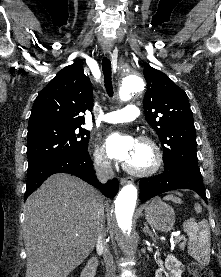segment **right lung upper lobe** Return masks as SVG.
<instances>
[{"mask_svg": "<svg viewBox=\"0 0 221 277\" xmlns=\"http://www.w3.org/2000/svg\"><path fill=\"white\" fill-rule=\"evenodd\" d=\"M93 109L90 79L82 65L75 62L64 67L37 96L28 126L85 123L86 110Z\"/></svg>", "mask_w": 221, "mask_h": 277, "instance_id": "obj_1", "label": "right lung upper lobe"}]
</instances>
